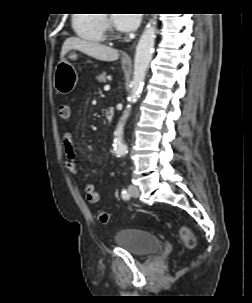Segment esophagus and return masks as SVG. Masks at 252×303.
Returning <instances> with one entry per match:
<instances>
[{"label": "esophagus", "instance_id": "esophagus-1", "mask_svg": "<svg viewBox=\"0 0 252 303\" xmlns=\"http://www.w3.org/2000/svg\"><path fill=\"white\" fill-rule=\"evenodd\" d=\"M135 44V43H134ZM133 44V46H134ZM132 46V48H133ZM122 59L123 60H126V61H130L131 60V57H130V54L129 53H125L123 56H122Z\"/></svg>", "mask_w": 252, "mask_h": 303}]
</instances>
